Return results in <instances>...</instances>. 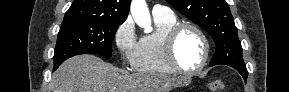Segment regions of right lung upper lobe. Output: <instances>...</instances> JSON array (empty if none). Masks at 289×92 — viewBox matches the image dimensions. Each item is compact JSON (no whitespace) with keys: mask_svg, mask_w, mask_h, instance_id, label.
<instances>
[{"mask_svg":"<svg viewBox=\"0 0 289 92\" xmlns=\"http://www.w3.org/2000/svg\"><path fill=\"white\" fill-rule=\"evenodd\" d=\"M131 0H74L64 16V21L87 20L124 22Z\"/></svg>","mask_w":289,"mask_h":92,"instance_id":"right-lung-upper-lobe-1","label":"right lung upper lobe"}]
</instances>
